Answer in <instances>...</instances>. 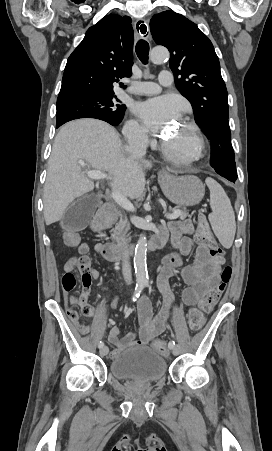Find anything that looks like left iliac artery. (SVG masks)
Masks as SVG:
<instances>
[{
    "instance_id": "obj_1",
    "label": "left iliac artery",
    "mask_w": 272,
    "mask_h": 451,
    "mask_svg": "<svg viewBox=\"0 0 272 451\" xmlns=\"http://www.w3.org/2000/svg\"><path fill=\"white\" fill-rule=\"evenodd\" d=\"M145 285L148 286V281H145ZM175 346V342L174 341H170L168 343V348L172 349Z\"/></svg>"
}]
</instances>
